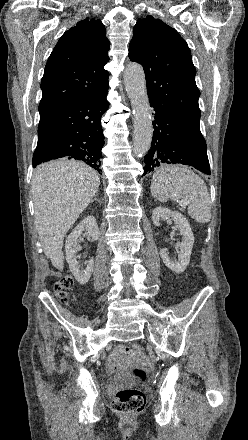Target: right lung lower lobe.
Returning <instances> with one entry per match:
<instances>
[{
  "label": "right lung lower lobe",
  "instance_id": "right-lung-lower-lobe-1",
  "mask_svg": "<svg viewBox=\"0 0 248 440\" xmlns=\"http://www.w3.org/2000/svg\"><path fill=\"white\" fill-rule=\"evenodd\" d=\"M107 90L75 98L40 113L38 143L33 155L34 168L67 156L84 161L100 173L101 150L104 146L101 117L109 106Z\"/></svg>",
  "mask_w": 248,
  "mask_h": 440
}]
</instances>
